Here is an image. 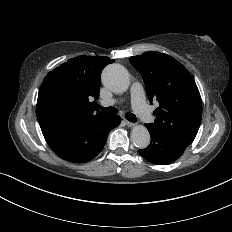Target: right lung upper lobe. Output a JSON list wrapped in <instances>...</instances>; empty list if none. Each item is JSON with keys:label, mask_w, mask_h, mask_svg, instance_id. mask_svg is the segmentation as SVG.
Returning <instances> with one entry per match:
<instances>
[{"label": "right lung upper lobe", "mask_w": 232, "mask_h": 232, "mask_svg": "<svg viewBox=\"0 0 232 232\" xmlns=\"http://www.w3.org/2000/svg\"><path fill=\"white\" fill-rule=\"evenodd\" d=\"M114 61L104 56H78L49 72L38 93L39 123L104 116L92 100L99 97L101 71Z\"/></svg>", "instance_id": "1"}]
</instances>
